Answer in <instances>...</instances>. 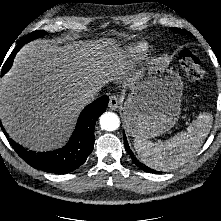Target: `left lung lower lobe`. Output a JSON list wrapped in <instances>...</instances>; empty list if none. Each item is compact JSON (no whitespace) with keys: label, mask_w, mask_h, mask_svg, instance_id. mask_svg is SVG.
Instances as JSON below:
<instances>
[{"label":"left lung lower lobe","mask_w":221,"mask_h":221,"mask_svg":"<svg viewBox=\"0 0 221 221\" xmlns=\"http://www.w3.org/2000/svg\"><path fill=\"white\" fill-rule=\"evenodd\" d=\"M124 143H125V147H126V150H127L128 154L131 156L133 162H134L140 169H142V170L145 171V172H153V173H155L154 170H152V169L148 168L147 166L141 164V163L134 157V155L132 154V151L130 150V147H129V145H128V142H127V139H126V136H125V135H124Z\"/></svg>","instance_id":"1"}]
</instances>
